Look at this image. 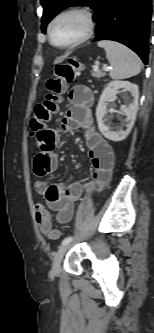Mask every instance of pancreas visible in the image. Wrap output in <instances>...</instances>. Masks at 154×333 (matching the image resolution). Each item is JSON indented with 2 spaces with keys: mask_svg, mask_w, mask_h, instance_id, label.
Segmentation results:
<instances>
[{
  "mask_svg": "<svg viewBox=\"0 0 154 333\" xmlns=\"http://www.w3.org/2000/svg\"><path fill=\"white\" fill-rule=\"evenodd\" d=\"M105 75L106 74L103 71L93 68V72H92L93 77L101 78V77H104Z\"/></svg>",
  "mask_w": 154,
  "mask_h": 333,
  "instance_id": "obj_1",
  "label": "pancreas"
}]
</instances>
